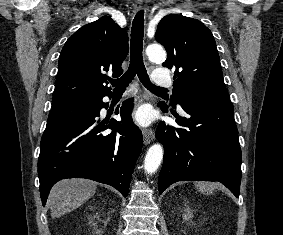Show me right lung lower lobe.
<instances>
[{
	"label": "right lung lower lobe",
	"instance_id": "right-lung-lower-lobe-1",
	"mask_svg": "<svg viewBox=\"0 0 283 235\" xmlns=\"http://www.w3.org/2000/svg\"><path fill=\"white\" fill-rule=\"evenodd\" d=\"M103 95L94 98L82 114L57 126L46 128L38 161L43 206L51 187L63 178H88L115 187L127 196L134 164L142 148V133L130 113L132 99L123 102L115 119L101 121L100 110L107 105ZM113 129L111 133L104 132Z\"/></svg>",
	"mask_w": 283,
	"mask_h": 235
}]
</instances>
